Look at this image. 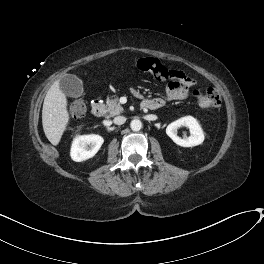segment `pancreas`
Instances as JSON below:
<instances>
[{
  "instance_id": "cf45deb5",
  "label": "pancreas",
  "mask_w": 264,
  "mask_h": 264,
  "mask_svg": "<svg viewBox=\"0 0 264 264\" xmlns=\"http://www.w3.org/2000/svg\"><path fill=\"white\" fill-rule=\"evenodd\" d=\"M124 111L123 107L118 101V98H108L106 102V116L107 117H113L116 115L121 114Z\"/></svg>"
}]
</instances>
